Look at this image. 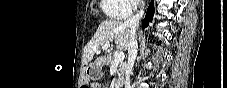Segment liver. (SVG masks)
<instances>
[{
  "label": "liver",
  "mask_w": 227,
  "mask_h": 88,
  "mask_svg": "<svg viewBox=\"0 0 227 88\" xmlns=\"http://www.w3.org/2000/svg\"><path fill=\"white\" fill-rule=\"evenodd\" d=\"M130 30L122 21L105 20L100 23L92 39L88 42L83 52V62H90L106 43L115 40L117 49L126 50L129 43Z\"/></svg>",
  "instance_id": "liver-1"
}]
</instances>
